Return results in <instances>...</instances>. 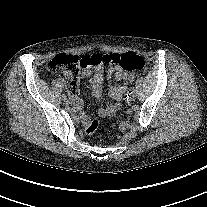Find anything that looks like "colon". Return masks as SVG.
<instances>
[{"instance_id": "obj_1", "label": "colon", "mask_w": 207, "mask_h": 207, "mask_svg": "<svg viewBox=\"0 0 207 207\" xmlns=\"http://www.w3.org/2000/svg\"><path fill=\"white\" fill-rule=\"evenodd\" d=\"M145 61L142 56L128 52L124 54H91L78 57L69 54H61L53 58L48 68L61 73L68 89L73 92L77 88L80 70L92 66H119L124 71H137L144 67ZM99 126V120L94 119L85 127V134L92 135Z\"/></svg>"}]
</instances>
